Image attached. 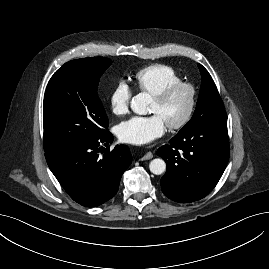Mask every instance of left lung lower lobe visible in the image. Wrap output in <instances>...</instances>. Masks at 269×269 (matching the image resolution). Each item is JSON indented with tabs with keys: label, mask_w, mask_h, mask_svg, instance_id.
I'll return each instance as SVG.
<instances>
[{
	"label": "left lung lower lobe",
	"mask_w": 269,
	"mask_h": 269,
	"mask_svg": "<svg viewBox=\"0 0 269 269\" xmlns=\"http://www.w3.org/2000/svg\"><path fill=\"white\" fill-rule=\"evenodd\" d=\"M157 154L167 164L160 181L164 195L180 203L200 200L213 190L228 163L227 123L178 132Z\"/></svg>",
	"instance_id": "1"
}]
</instances>
